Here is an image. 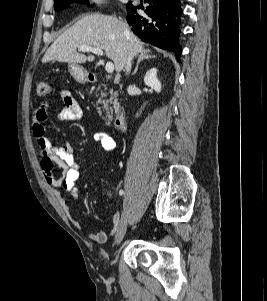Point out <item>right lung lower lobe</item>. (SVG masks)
Masks as SVG:
<instances>
[{
  "label": "right lung lower lobe",
  "mask_w": 267,
  "mask_h": 301,
  "mask_svg": "<svg viewBox=\"0 0 267 301\" xmlns=\"http://www.w3.org/2000/svg\"><path fill=\"white\" fill-rule=\"evenodd\" d=\"M148 6L144 13H137L139 7L131 3L126 5V17L133 32L144 42L176 53L179 61L181 46L179 34L181 32L180 16L182 9L180 0H145Z\"/></svg>",
  "instance_id": "98d812e1"
}]
</instances>
